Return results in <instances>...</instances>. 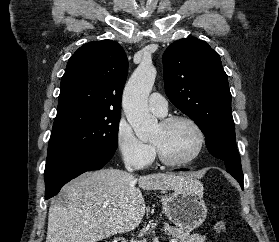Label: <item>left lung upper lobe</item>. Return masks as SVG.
<instances>
[{"mask_svg":"<svg viewBox=\"0 0 279 242\" xmlns=\"http://www.w3.org/2000/svg\"><path fill=\"white\" fill-rule=\"evenodd\" d=\"M163 68L170 101L197 123L211 155L222 159L234 178L243 179L231 93L219 54L205 41L180 39L165 50Z\"/></svg>","mask_w":279,"mask_h":242,"instance_id":"5c2ea615","label":"left lung upper lobe"}]
</instances>
